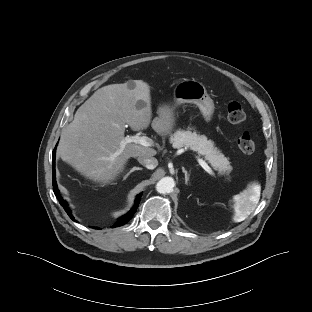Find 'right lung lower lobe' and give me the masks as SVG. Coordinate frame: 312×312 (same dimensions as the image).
<instances>
[{
    "mask_svg": "<svg viewBox=\"0 0 312 312\" xmlns=\"http://www.w3.org/2000/svg\"><path fill=\"white\" fill-rule=\"evenodd\" d=\"M52 173H53V191L55 193L56 198L59 200V203L61 204V206H63V208L66 210L68 216L75 221L71 210L67 204V202L62 198V196L60 195V192L58 190L57 184H56V180H55V149L53 150V161H52ZM142 193H140L139 195H137L136 200H135V204L132 207V209L125 215H123L122 217H120L117 221V223L112 226V227H118V226H122L124 224H126L134 215V213L137 210L138 204L140 202ZM99 229V228H97Z\"/></svg>",
    "mask_w": 312,
    "mask_h": 312,
    "instance_id": "98d812e1",
    "label": "right lung lower lobe"
}]
</instances>
